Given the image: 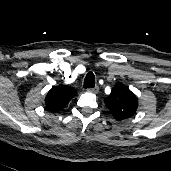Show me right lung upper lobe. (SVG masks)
<instances>
[{
    "mask_svg": "<svg viewBox=\"0 0 171 171\" xmlns=\"http://www.w3.org/2000/svg\"><path fill=\"white\" fill-rule=\"evenodd\" d=\"M77 92L69 86L61 85L52 88L46 95V108L53 113L60 111Z\"/></svg>",
    "mask_w": 171,
    "mask_h": 171,
    "instance_id": "right-lung-upper-lobe-1",
    "label": "right lung upper lobe"
}]
</instances>
